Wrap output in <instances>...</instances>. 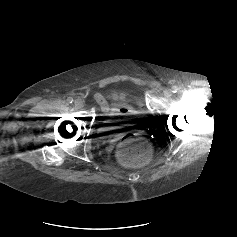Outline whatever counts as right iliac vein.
<instances>
[{"label": "right iliac vein", "instance_id": "right-iliac-vein-1", "mask_svg": "<svg viewBox=\"0 0 237 237\" xmlns=\"http://www.w3.org/2000/svg\"><path fill=\"white\" fill-rule=\"evenodd\" d=\"M74 106L77 108V109H80L83 107V101L81 99H76L74 101Z\"/></svg>", "mask_w": 237, "mask_h": 237}]
</instances>
